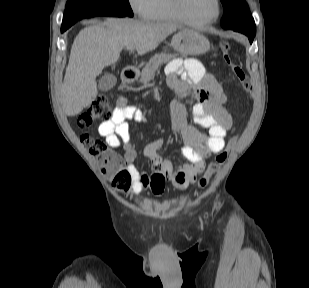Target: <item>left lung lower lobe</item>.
<instances>
[{
  "label": "left lung lower lobe",
  "mask_w": 309,
  "mask_h": 288,
  "mask_svg": "<svg viewBox=\"0 0 309 288\" xmlns=\"http://www.w3.org/2000/svg\"><path fill=\"white\" fill-rule=\"evenodd\" d=\"M225 29H230V30H234V31L246 34L249 38L250 43H252L255 37V34H256V26H255L254 19H249V20L239 22Z\"/></svg>",
  "instance_id": "0a47b994"
}]
</instances>
